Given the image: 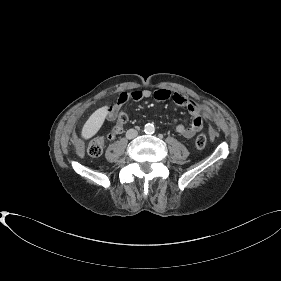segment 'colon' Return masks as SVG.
<instances>
[{"instance_id":"1","label":"colon","mask_w":281,"mask_h":281,"mask_svg":"<svg viewBox=\"0 0 281 281\" xmlns=\"http://www.w3.org/2000/svg\"><path fill=\"white\" fill-rule=\"evenodd\" d=\"M128 120V115L124 110H121L117 115V125L115 128L107 135V139H114L122 129V125ZM195 145L198 149H203L207 145V137L200 134L196 137ZM104 149V139L97 138L92 140L87 148V152L91 157H99L103 153Z\"/></svg>"}]
</instances>
